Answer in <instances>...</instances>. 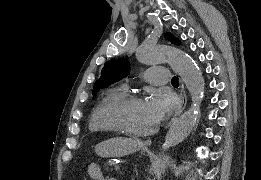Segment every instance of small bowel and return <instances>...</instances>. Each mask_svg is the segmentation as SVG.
I'll return each instance as SVG.
<instances>
[{
    "mask_svg": "<svg viewBox=\"0 0 261 180\" xmlns=\"http://www.w3.org/2000/svg\"><path fill=\"white\" fill-rule=\"evenodd\" d=\"M87 174L92 180H103L104 179L101 168L96 163H91L88 165Z\"/></svg>",
    "mask_w": 261,
    "mask_h": 180,
    "instance_id": "c3829d8e",
    "label": "small bowel"
}]
</instances>
